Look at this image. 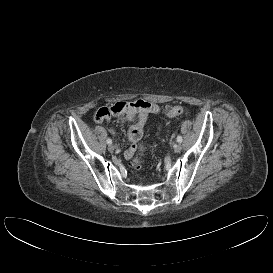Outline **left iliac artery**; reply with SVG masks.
<instances>
[{"label": "left iliac artery", "instance_id": "1", "mask_svg": "<svg viewBox=\"0 0 273 273\" xmlns=\"http://www.w3.org/2000/svg\"><path fill=\"white\" fill-rule=\"evenodd\" d=\"M182 140H183V139H182V136L178 135V136H177V142L181 143Z\"/></svg>", "mask_w": 273, "mask_h": 273}]
</instances>
